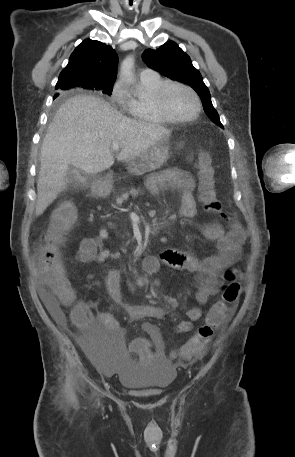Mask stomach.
Instances as JSON below:
<instances>
[{"mask_svg": "<svg viewBox=\"0 0 295 457\" xmlns=\"http://www.w3.org/2000/svg\"><path fill=\"white\" fill-rule=\"evenodd\" d=\"M169 157L170 145L167 139L131 159L128 164V171L133 175L145 174L162 166ZM112 185V178L108 176L94 182L92 189L99 194H108L112 190Z\"/></svg>", "mask_w": 295, "mask_h": 457, "instance_id": "obj_1", "label": "stomach"}]
</instances>
